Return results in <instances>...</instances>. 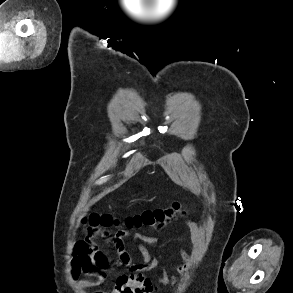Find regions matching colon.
I'll use <instances>...</instances> for the list:
<instances>
[{
	"instance_id": "5ec220e1",
	"label": "colon",
	"mask_w": 293,
	"mask_h": 293,
	"mask_svg": "<svg viewBox=\"0 0 293 293\" xmlns=\"http://www.w3.org/2000/svg\"><path fill=\"white\" fill-rule=\"evenodd\" d=\"M183 213V205L180 202H173L165 208L146 209L139 213L117 218L110 214L92 212L82 219L86 231L92 235L105 237L110 234L111 229L125 227L155 229L166 225Z\"/></svg>"
}]
</instances>
